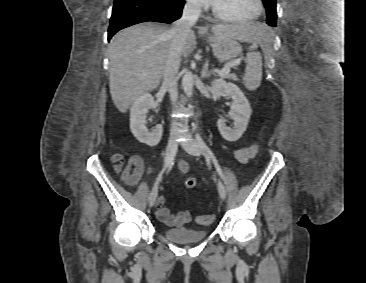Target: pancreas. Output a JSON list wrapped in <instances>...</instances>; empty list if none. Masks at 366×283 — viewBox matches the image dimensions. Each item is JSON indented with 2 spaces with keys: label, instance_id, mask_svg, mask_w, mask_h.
Listing matches in <instances>:
<instances>
[{
  "label": "pancreas",
  "instance_id": "cf45deb5",
  "mask_svg": "<svg viewBox=\"0 0 366 283\" xmlns=\"http://www.w3.org/2000/svg\"><path fill=\"white\" fill-rule=\"evenodd\" d=\"M224 77L227 78V79H232L234 81H237L238 80V78L236 77L235 74H227Z\"/></svg>",
  "mask_w": 366,
  "mask_h": 283
}]
</instances>
